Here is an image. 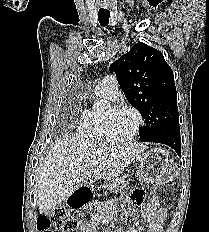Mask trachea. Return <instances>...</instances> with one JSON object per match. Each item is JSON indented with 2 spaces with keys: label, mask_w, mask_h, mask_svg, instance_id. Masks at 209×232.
<instances>
[{
  "label": "trachea",
  "mask_w": 209,
  "mask_h": 232,
  "mask_svg": "<svg viewBox=\"0 0 209 232\" xmlns=\"http://www.w3.org/2000/svg\"><path fill=\"white\" fill-rule=\"evenodd\" d=\"M110 12L108 10H101L98 12V21L101 26H106L109 23Z\"/></svg>",
  "instance_id": "trachea-1"
}]
</instances>
